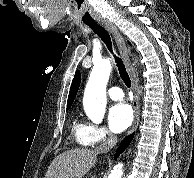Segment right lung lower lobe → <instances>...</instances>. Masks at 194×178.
<instances>
[{
	"label": "right lung lower lobe",
	"mask_w": 194,
	"mask_h": 178,
	"mask_svg": "<svg viewBox=\"0 0 194 178\" xmlns=\"http://www.w3.org/2000/svg\"><path fill=\"white\" fill-rule=\"evenodd\" d=\"M132 137H133V134L129 135L124 139V141L121 143V146L118 148L115 158L119 157L120 153H122L125 150V148L130 144Z\"/></svg>",
	"instance_id": "obj_1"
}]
</instances>
